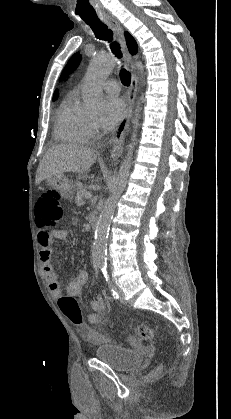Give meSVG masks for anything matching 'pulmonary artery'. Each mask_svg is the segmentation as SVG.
<instances>
[{"instance_id":"pulmonary-artery-1","label":"pulmonary artery","mask_w":231,"mask_h":419,"mask_svg":"<svg viewBox=\"0 0 231 419\" xmlns=\"http://www.w3.org/2000/svg\"><path fill=\"white\" fill-rule=\"evenodd\" d=\"M103 89L109 94H118L120 87L114 80H107L102 84Z\"/></svg>"}]
</instances>
